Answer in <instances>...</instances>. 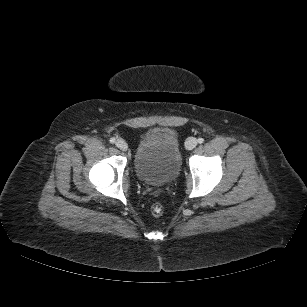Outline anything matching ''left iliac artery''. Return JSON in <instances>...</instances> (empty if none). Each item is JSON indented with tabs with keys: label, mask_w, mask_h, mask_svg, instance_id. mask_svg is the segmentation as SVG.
<instances>
[{
	"label": "left iliac artery",
	"mask_w": 307,
	"mask_h": 307,
	"mask_svg": "<svg viewBox=\"0 0 307 307\" xmlns=\"http://www.w3.org/2000/svg\"><path fill=\"white\" fill-rule=\"evenodd\" d=\"M197 142H198L199 144H202V143L204 142V139H203V138H198Z\"/></svg>",
	"instance_id": "1"
}]
</instances>
